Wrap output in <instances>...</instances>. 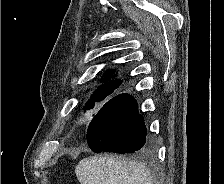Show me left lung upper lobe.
Instances as JSON below:
<instances>
[{"instance_id": "5c2ea615", "label": "left lung upper lobe", "mask_w": 224, "mask_h": 184, "mask_svg": "<svg viewBox=\"0 0 224 184\" xmlns=\"http://www.w3.org/2000/svg\"><path fill=\"white\" fill-rule=\"evenodd\" d=\"M113 74H114L113 70L107 71L103 78L104 82H106L110 77H113ZM120 84H121L120 80H112L108 83L101 85L91 96V99L87 103L84 110H90L93 109L94 107L97 108L99 104H96L95 106V102L105 101L106 98H108L111 94H113L115 89H117Z\"/></svg>"}]
</instances>
